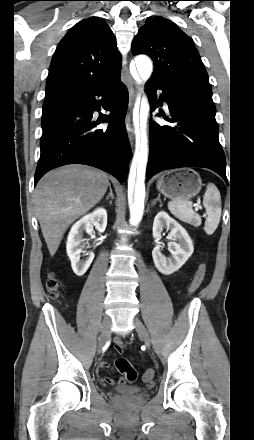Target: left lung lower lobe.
<instances>
[{
  "instance_id": "obj_1",
  "label": "left lung lower lobe",
  "mask_w": 254,
  "mask_h": 440,
  "mask_svg": "<svg viewBox=\"0 0 254 440\" xmlns=\"http://www.w3.org/2000/svg\"><path fill=\"white\" fill-rule=\"evenodd\" d=\"M150 100H156V91L161 90L160 100L151 104H168L170 115L160 112L172 125L162 126L150 120V153L146 178L154 174L180 167H203L218 173L226 182V161L221 144L219 129L215 120L216 108L206 105L193 97H177L160 82L149 79L146 83Z\"/></svg>"
}]
</instances>
